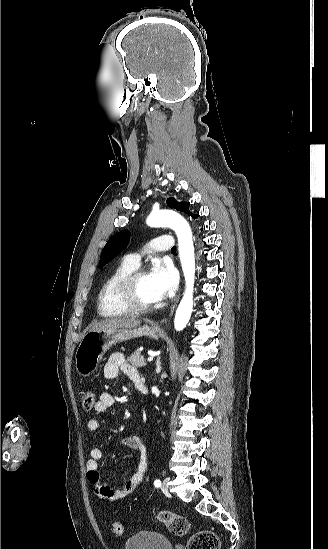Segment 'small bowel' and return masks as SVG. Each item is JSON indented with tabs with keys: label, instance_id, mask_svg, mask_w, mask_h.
Here are the masks:
<instances>
[{
	"label": "small bowel",
	"instance_id": "1",
	"mask_svg": "<svg viewBox=\"0 0 328 549\" xmlns=\"http://www.w3.org/2000/svg\"><path fill=\"white\" fill-rule=\"evenodd\" d=\"M119 373H123L126 377L133 379L139 376L138 370L128 363L125 356L120 352L112 353L107 359L103 367V376L112 380ZM115 402L114 396L109 392L100 394L98 401L94 406L96 413H105ZM89 431L96 432L100 428V423L97 419L92 418L87 422ZM118 445L129 448L130 450L139 453L138 462L134 472L127 479L123 487L112 488L104 483L99 472V460L102 458V450L94 447L90 451V458L87 461V475L90 483L93 485L96 495L105 502H115L125 499L130 496L141 483L144 473L147 469V448L143 438L137 434L129 435L118 440Z\"/></svg>",
	"mask_w": 328,
	"mask_h": 549
}]
</instances>
